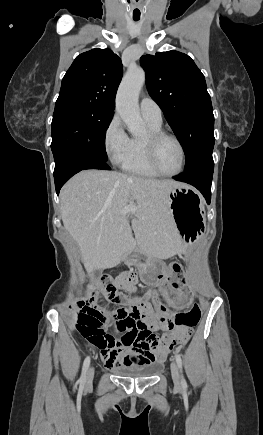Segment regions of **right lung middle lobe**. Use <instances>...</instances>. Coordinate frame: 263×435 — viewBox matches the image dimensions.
Instances as JSON below:
<instances>
[{"mask_svg": "<svg viewBox=\"0 0 263 435\" xmlns=\"http://www.w3.org/2000/svg\"><path fill=\"white\" fill-rule=\"evenodd\" d=\"M114 112L88 104L55 107L51 149L55 165L69 156L107 161L105 135Z\"/></svg>", "mask_w": 263, "mask_h": 435, "instance_id": "obj_1", "label": "right lung middle lobe"}]
</instances>
